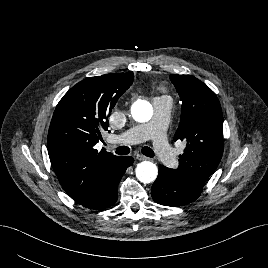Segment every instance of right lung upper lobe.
Returning <instances> with one entry per match:
<instances>
[{
    "label": "right lung upper lobe",
    "mask_w": 268,
    "mask_h": 268,
    "mask_svg": "<svg viewBox=\"0 0 268 268\" xmlns=\"http://www.w3.org/2000/svg\"><path fill=\"white\" fill-rule=\"evenodd\" d=\"M133 79L132 71L86 78L64 95L54 111L47 138L49 158L62 188L79 204L119 159L94 146L102 140L109 113Z\"/></svg>",
    "instance_id": "right-lung-upper-lobe-1"
}]
</instances>
